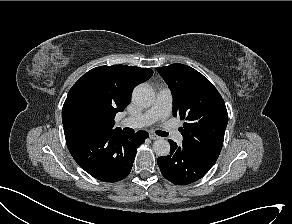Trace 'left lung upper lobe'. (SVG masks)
<instances>
[{"mask_svg":"<svg viewBox=\"0 0 292 224\" xmlns=\"http://www.w3.org/2000/svg\"><path fill=\"white\" fill-rule=\"evenodd\" d=\"M157 71L173 95V115L184 120L182 145L216 162L228 123L223 98L201 73L175 63Z\"/></svg>","mask_w":292,"mask_h":224,"instance_id":"5c2ea615","label":"left lung upper lobe"}]
</instances>
